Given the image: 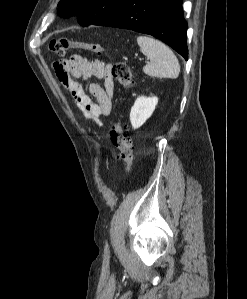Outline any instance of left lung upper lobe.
Segmentation results:
<instances>
[{
  "mask_svg": "<svg viewBox=\"0 0 247 299\" xmlns=\"http://www.w3.org/2000/svg\"><path fill=\"white\" fill-rule=\"evenodd\" d=\"M121 0H61L58 15L77 16L82 26H89L112 10Z\"/></svg>",
  "mask_w": 247,
  "mask_h": 299,
  "instance_id": "5c2ea615",
  "label": "left lung upper lobe"
}]
</instances>
